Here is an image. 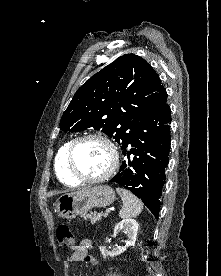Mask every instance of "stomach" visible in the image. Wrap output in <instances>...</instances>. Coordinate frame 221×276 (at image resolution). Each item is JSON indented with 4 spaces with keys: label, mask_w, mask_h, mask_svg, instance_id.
I'll use <instances>...</instances> for the list:
<instances>
[{
    "label": "stomach",
    "mask_w": 221,
    "mask_h": 276,
    "mask_svg": "<svg viewBox=\"0 0 221 276\" xmlns=\"http://www.w3.org/2000/svg\"><path fill=\"white\" fill-rule=\"evenodd\" d=\"M114 200V190L107 185H101L62 195L57 201L56 209L60 217L72 219L86 214L94 207L109 206Z\"/></svg>",
    "instance_id": "0dacf381"
}]
</instances>
